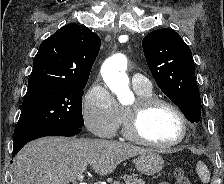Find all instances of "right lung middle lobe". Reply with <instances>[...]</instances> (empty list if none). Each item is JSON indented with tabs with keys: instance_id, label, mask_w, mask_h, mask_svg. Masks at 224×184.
<instances>
[{
	"instance_id": "right-lung-middle-lobe-1",
	"label": "right lung middle lobe",
	"mask_w": 224,
	"mask_h": 184,
	"mask_svg": "<svg viewBox=\"0 0 224 184\" xmlns=\"http://www.w3.org/2000/svg\"><path fill=\"white\" fill-rule=\"evenodd\" d=\"M86 83L29 85L22 112L14 131V141L33 130L49 127L81 128L82 96Z\"/></svg>"
}]
</instances>
